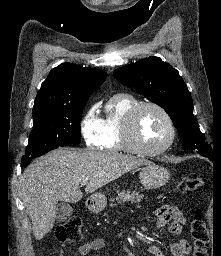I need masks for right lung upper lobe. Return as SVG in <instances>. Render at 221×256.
<instances>
[{
	"label": "right lung upper lobe",
	"mask_w": 221,
	"mask_h": 256,
	"mask_svg": "<svg viewBox=\"0 0 221 256\" xmlns=\"http://www.w3.org/2000/svg\"><path fill=\"white\" fill-rule=\"evenodd\" d=\"M106 76L102 70L62 63L53 68L42 83L33 111L81 104L105 81Z\"/></svg>",
	"instance_id": "1"
}]
</instances>
